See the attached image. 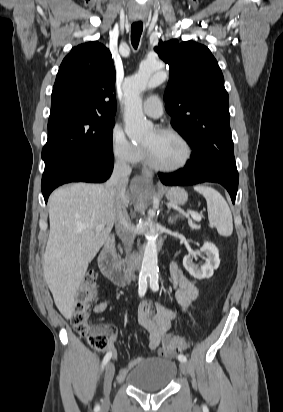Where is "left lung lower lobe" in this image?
I'll use <instances>...</instances> for the list:
<instances>
[{"label": "left lung lower lobe", "instance_id": "1", "mask_svg": "<svg viewBox=\"0 0 283 412\" xmlns=\"http://www.w3.org/2000/svg\"><path fill=\"white\" fill-rule=\"evenodd\" d=\"M208 153L202 147L196 148L186 166L174 173H159L165 185H193L202 182H215L223 185L235 203L238 184L230 180L229 161L223 156Z\"/></svg>", "mask_w": 283, "mask_h": 412}]
</instances>
